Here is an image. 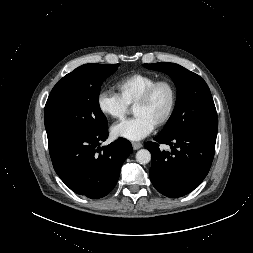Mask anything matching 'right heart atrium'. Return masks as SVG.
Instances as JSON below:
<instances>
[{
  "mask_svg": "<svg viewBox=\"0 0 253 253\" xmlns=\"http://www.w3.org/2000/svg\"><path fill=\"white\" fill-rule=\"evenodd\" d=\"M97 106L104 116L115 120L123 119L129 110L128 105L113 91H101L97 97Z\"/></svg>",
  "mask_w": 253,
  "mask_h": 253,
  "instance_id": "1",
  "label": "right heart atrium"
}]
</instances>
